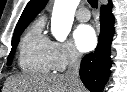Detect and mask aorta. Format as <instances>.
Returning a JSON list of instances; mask_svg holds the SVG:
<instances>
[{"mask_svg":"<svg viewBox=\"0 0 127 92\" xmlns=\"http://www.w3.org/2000/svg\"><path fill=\"white\" fill-rule=\"evenodd\" d=\"M79 2L80 0H55L51 18V32L58 41L66 40L70 33Z\"/></svg>","mask_w":127,"mask_h":92,"instance_id":"aorta-1","label":"aorta"}]
</instances>
